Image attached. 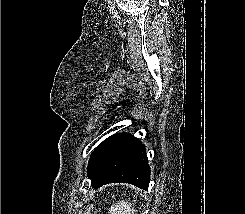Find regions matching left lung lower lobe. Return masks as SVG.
I'll return each mask as SVG.
<instances>
[{
  "instance_id": "left-lung-lower-lobe-1",
  "label": "left lung lower lobe",
  "mask_w": 245,
  "mask_h": 214,
  "mask_svg": "<svg viewBox=\"0 0 245 214\" xmlns=\"http://www.w3.org/2000/svg\"><path fill=\"white\" fill-rule=\"evenodd\" d=\"M87 173L95 189L125 182L145 190L150 181L145 146L128 133L113 135L92 152Z\"/></svg>"
}]
</instances>
